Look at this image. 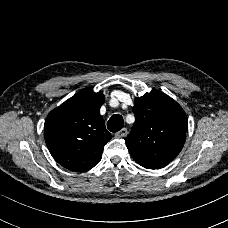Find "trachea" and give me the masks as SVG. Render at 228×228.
<instances>
[{"mask_svg":"<svg viewBox=\"0 0 228 228\" xmlns=\"http://www.w3.org/2000/svg\"><path fill=\"white\" fill-rule=\"evenodd\" d=\"M123 126V117L118 114L112 115L109 121L107 122V128L110 132H118L123 128Z\"/></svg>","mask_w":228,"mask_h":228,"instance_id":"3493384b","label":"trachea"}]
</instances>
